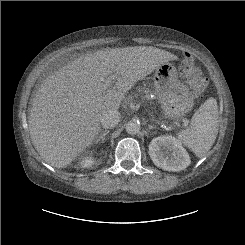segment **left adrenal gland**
<instances>
[{"mask_svg": "<svg viewBox=\"0 0 245 245\" xmlns=\"http://www.w3.org/2000/svg\"><path fill=\"white\" fill-rule=\"evenodd\" d=\"M156 128H157V127H156L155 125H152V124L149 125V129H150V130L156 129Z\"/></svg>", "mask_w": 245, "mask_h": 245, "instance_id": "left-adrenal-gland-1", "label": "left adrenal gland"}]
</instances>
